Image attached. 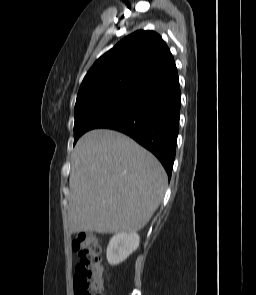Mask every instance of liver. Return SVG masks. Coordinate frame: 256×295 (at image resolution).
<instances>
[{
    "mask_svg": "<svg viewBox=\"0 0 256 295\" xmlns=\"http://www.w3.org/2000/svg\"><path fill=\"white\" fill-rule=\"evenodd\" d=\"M69 186L71 234L133 233L160 205L167 175L157 158L128 136L97 129L74 148Z\"/></svg>",
    "mask_w": 256,
    "mask_h": 295,
    "instance_id": "liver-1",
    "label": "liver"
}]
</instances>
